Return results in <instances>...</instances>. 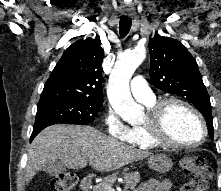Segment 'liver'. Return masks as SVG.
<instances>
[{"instance_id":"6515ba94","label":"liver","mask_w":221,"mask_h":191,"mask_svg":"<svg viewBox=\"0 0 221 191\" xmlns=\"http://www.w3.org/2000/svg\"><path fill=\"white\" fill-rule=\"evenodd\" d=\"M151 155L90 126L56 124L45 128L33 140L25 178L29 182L49 161H61L75 169L84 168L89 160L90 166L98 171H112Z\"/></svg>"}]
</instances>
